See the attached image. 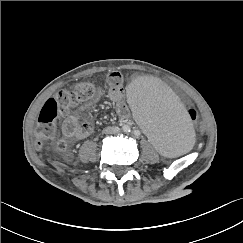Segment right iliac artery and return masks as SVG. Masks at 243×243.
<instances>
[{
	"label": "right iliac artery",
	"mask_w": 243,
	"mask_h": 243,
	"mask_svg": "<svg viewBox=\"0 0 243 243\" xmlns=\"http://www.w3.org/2000/svg\"><path fill=\"white\" fill-rule=\"evenodd\" d=\"M123 130H124L125 132H130V131H131V128H130L128 125H125V126L123 127Z\"/></svg>",
	"instance_id": "1"
}]
</instances>
